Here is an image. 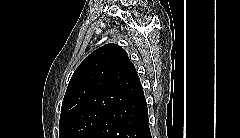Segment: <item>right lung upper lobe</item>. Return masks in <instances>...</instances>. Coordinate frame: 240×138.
<instances>
[{"label":"right lung upper lobe","instance_id":"cb5924a9","mask_svg":"<svg viewBox=\"0 0 240 138\" xmlns=\"http://www.w3.org/2000/svg\"><path fill=\"white\" fill-rule=\"evenodd\" d=\"M141 93L140 79L126 51L116 44H106L73 73L60 118L88 110L108 113Z\"/></svg>","mask_w":240,"mask_h":138}]
</instances>
